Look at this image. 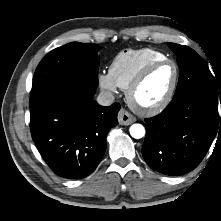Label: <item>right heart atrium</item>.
I'll return each instance as SVG.
<instances>
[{"label":"right heart atrium","mask_w":221,"mask_h":221,"mask_svg":"<svg viewBox=\"0 0 221 221\" xmlns=\"http://www.w3.org/2000/svg\"><path fill=\"white\" fill-rule=\"evenodd\" d=\"M100 88L108 93H115L117 91V84L107 72H100L97 77Z\"/></svg>","instance_id":"obj_1"}]
</instances>
